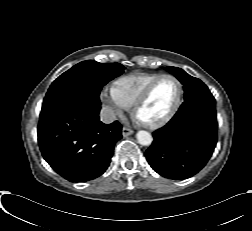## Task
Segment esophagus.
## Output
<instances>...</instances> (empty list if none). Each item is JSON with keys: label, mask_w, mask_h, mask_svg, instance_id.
I'll list each match as a JSON object with an SVG mask.
<instances>
[{"label": "esophagus", "mask_w": 252, "mask_h": 231, "mask_svg": "<svg viewBox=\"0 0 252 231\" xmlns=\"http://www.w3.org/2000/svg\"><path fill=\"white\" fill-rule=\"evenodd\" d=\"M131 134H133V130H132V129L127 128V127H123V128H122V135H123L124 137H127V136H129V135H131Z\"/></svg>", "instance_id": "34e87169"}]
</instances>
